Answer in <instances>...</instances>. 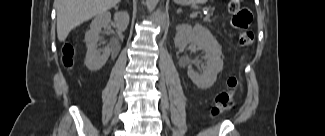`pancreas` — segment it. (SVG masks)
<instances>
[{"label": "pancreas", "mask_w": 325, "mask_h": 136, "mask_svg": "<svg viewBox=\"0 0 325 136\" xmlns=\"http://www.w3.org/2000/svg\"><path fill=\"white\" fill-rule=\"evenodd\" d=\"M200 17H201V19H205V20H207V19H210L211 14H210V16H200Z\"/></svg>", "instance_id": "cf45deb5"}]
</instances>
